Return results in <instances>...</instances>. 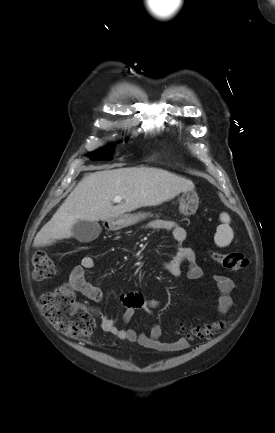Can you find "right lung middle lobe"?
I'll return each instance as SVG.
<instances>
[{
	"label": "right lung middle lobe",
	"instance_id": "dd1d6c3e",
	"mask_svg": "<svg viewBox=\"0 0 275 433\" xmlns=\"http://www.w3.org/2000/svg\"><path fill=\"white\" fill-rule=\"evenodd\" d=\"M104 149V148H103ZM103 149L96 150L94 152H91L88 154V156L91 158V160H110L112 155ZM106 150L109 149L108 147L105 148Z\"/></svg>",
	"mask_w": 275,
	"mask_h": 433
}]
</instances>
